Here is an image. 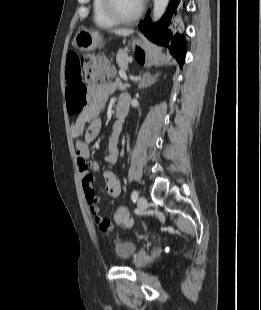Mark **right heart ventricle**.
<instances>
[{"label": "right heart ventricle", "mask_w": 261, "mask_h": 310, "mask_svg": "<svg viewBox=\"0 0 261 310\" xmlns=\"http://www.w3.org/2000/svg\"><path fill=\"white\" fill-rule=\"evenodd\" d=\"M93 21L96 26L103 29H109L116 26L117 23L108 18L102 9L101 0H93L92 3Z\"/></svg>", "instance_id": "right-heart-ventricle-1"}]
</instances>
